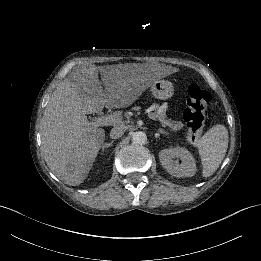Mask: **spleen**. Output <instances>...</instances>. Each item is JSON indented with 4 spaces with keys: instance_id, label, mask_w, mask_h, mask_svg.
<instances>
[{
    "instance_id": "1",
    "label": "spleen",
    "mask_w": 261,
    "mask_h": 261,
    "mask_svg": "<svg viewBox=\"0 0 261 261\" xmlns=\"http://www.w3.org/2000/svg\"><path fill=\"white\" fill-rule=\"evenodd\" d=\"M228 147V130L223 125H215L207 131L198 143L202 161L203 177L211 176L225 157Z\"/></svg>"
}]
</instances>
